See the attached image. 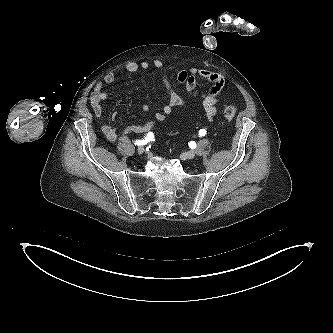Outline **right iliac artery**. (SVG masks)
Segmentation results:
<instances>
[{
    "label": "right iliac artery",
    "instance_id": "right-iliac-artery-1",
    "mask_svg": "<svg viewBox=\"0 0 333 333\" xmlns=\"http://www.w3.org/2000/svg\"><path fill=\"white\" fill-rule=\"evenodd\" d=\"M151 141H154V134L152 132H149L146 135L145 139H143V140H136L135 144L138 145V146H140V145H145V144H147V143H149Z\"/></svg>",
    "mask_w": 333,
    "mask_h": 333
}]
</instances>
